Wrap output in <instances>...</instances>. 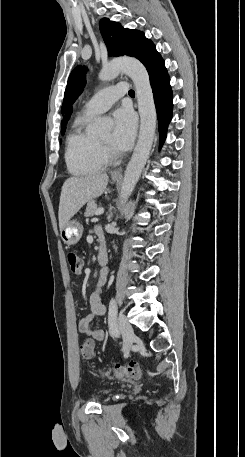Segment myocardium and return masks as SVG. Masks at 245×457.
Returning <instances> with one entry per match:
<instances>
[{
    "instance_id": "1",
    "label": "myocardium",
    "mask_w": 245,
    "mask_h": 457,
    "mask_svg": "<svg viewBox=\"0 0 245 457\" xmlns=\"http://www.w3.org/2000/svg\"><path fill=\"white\" fill-rule=\"evenodd\" d=\"M92 152L97 158L101 160H108L115 156V154L104 147L96 137H93L92 140Z\"/></svg>"
}]
</instances>
